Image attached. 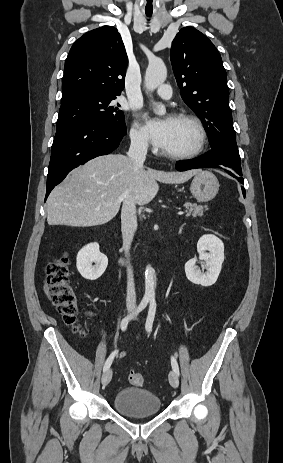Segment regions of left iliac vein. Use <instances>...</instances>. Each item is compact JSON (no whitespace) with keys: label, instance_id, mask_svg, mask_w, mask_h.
I'll return each mask as SVG.
<instances>
[{"label":"left iliac vein","instance_id":"left-iliac-vein-1","mask_svg":"<svg viewBox=\"0 0 283 463\" xmlns=\"http://www.w3.org/2000/svg\"><path fill=\"white\" fill-rule=\"evenodd\" d=\"M169 383L173 388H177L179 386V378L174 370L169 373Z\"/></svg>","mask_w":283,"mask_h":463}]
</instances>
